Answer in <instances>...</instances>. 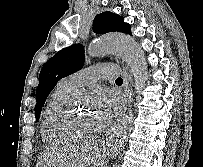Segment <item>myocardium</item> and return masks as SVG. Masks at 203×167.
I'll list each match as a JSON object with an SVG mask.
<instances>
[{
    "label": "myocardium",
    "mask_w": 203,
    "mask_h": 167,
    "mask_svg": "<svg viewBox=\"0 0 203 167\" xmlns=\"http://www.w3.org/2000/svg\"><path fill=\"white\" fill-rule=\"evenodd\" d=\"M83 95L82 92L77 91L73 94L67 106L59 113L54 121L55 129L65 138L73 142H85L94 139L100 133V130L89 134H81L73 127L74 111L78 99Z\"/></svg>",
    "instance_id": "1"
}]
</instances>
